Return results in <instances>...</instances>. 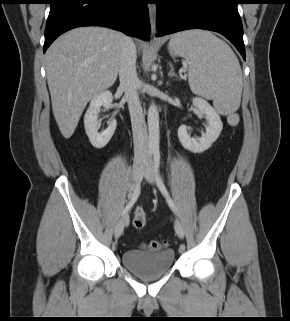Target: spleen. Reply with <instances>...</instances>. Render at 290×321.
Instances as JSON below:
<instances>
[{"instance_id":"3e777b00","label":"spleen","mask_w":290,"mask_h":321,"mask_svg":"<svg viewBox=\"0 0 290 321\" xmlns=\"http://www.w3.org/2000/svg\"><path fill=\"white\" fill-rule=\"evenodd\" d=\"M189 64L191 91L213 100L222 115L237 111L241 102L242 72L232 49L214 34L203 30L183 31L170 42Z\"/></svg>"}]
</instances>
